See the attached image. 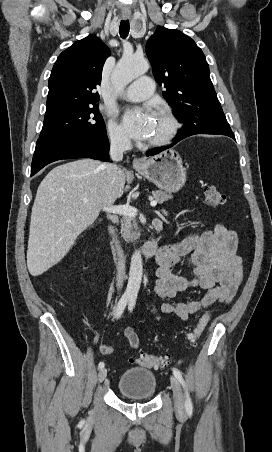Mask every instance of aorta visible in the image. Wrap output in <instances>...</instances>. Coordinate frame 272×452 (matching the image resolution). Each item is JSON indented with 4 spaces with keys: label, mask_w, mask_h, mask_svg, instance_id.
<instances>
[{
    "label": "aorta",
    "mask_w": 272,
    "mask_h": 452,
    "mask_svg": "<svg viewBox=\"0 0 272 452\" xmlns=\"http://www.w3.org/2000/svg\"><path fill=\"white\" fill-rule=\"evenodd\" d=\"M149 68L148 62L144 58L133 55H124L118 62L113 73V84L117 90L123 89L135 78L143 75ZM143 274V262L140 251H135L131 257L129 279L126 293L137 296Z\"/></svg>",
    "instance_id": "1"
}]
</instances>
